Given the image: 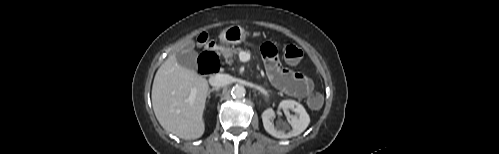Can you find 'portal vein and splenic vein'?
<instances>
[{
	"label": "portal vein and splenic vein",
	"instance_id": "1",
	"mask_svg": "<svg viewBox=\"0 0 499 154\" xmlns=\"http://www.w3.org/2000/svg\"><path fill=\"white\" fill-rule=\"evenodd\" d=\"M248 59H249L248 55H246V56H244V57H240V61H242V62H246V61H248ZM195 96H196V90H195V89H193V90L191 91V93H190L189 98H188V100H189V102H190V103H193V101H194V99H195Z\"/></svg>",
	"mask_w": 499,
	"mask_h": 154
}]
</instances>
